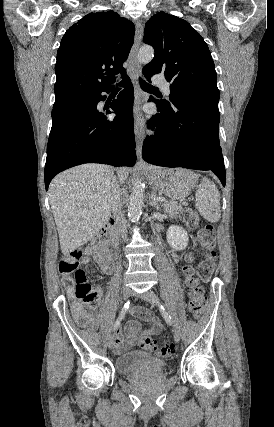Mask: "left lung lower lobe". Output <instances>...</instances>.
Wrapping results in <instances>:
<instances>
[{
    "label": "left lung lower lobe",
    "instance_id": "1",
    "mask_svg": "<svg viewBox=\"0 0 274 427\" xmlns=\"http://www.w3.org/2000/svg\"><path fill=\"white\" fill-rule=\"evenodd\" d=\"M152 75H145L149 80ZM160 113L152 115V131L143 144L142 157L164 167L213 171L225 186L226 172L219 142L218 103L211 100L175 97L170 102L150 97Z\"/></svg>",
    "mask_w": 274,
    "mask_h": 427
}]
</instances>
